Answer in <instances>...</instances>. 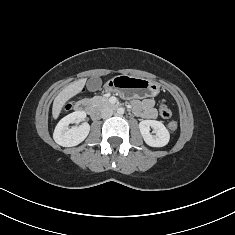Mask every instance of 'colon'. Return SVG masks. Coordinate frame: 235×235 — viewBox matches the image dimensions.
<instances>
[{
    "mask_svg": "<svg viewBox=\"0 0 235 235\" xmlns=\"http://www.w3.org/2000/svg\"><path fill=\"white\" fill-rule=\"evenodd\" d=\"M66 109H69L70 108V105H66L65 106ZM159 114L162 118H170L171 115H172V112H171V109L169 108V106L166 104L165 101H161L159 103ZM177 123L175 121H171L169 124H168V129L170 132H175L177 130Z\"/></svg>",
    "mask_w": 235,
    "mask_h": 235,
    "instance_id": "colon-1",
    "label": "colon"
}]
</instances>
